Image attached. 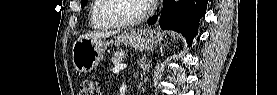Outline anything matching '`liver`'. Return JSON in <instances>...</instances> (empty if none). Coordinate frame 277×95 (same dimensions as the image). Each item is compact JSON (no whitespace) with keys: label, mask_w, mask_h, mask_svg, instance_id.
I'll use <instances>...</instances> for the list:
<instances>
[{"label":"liver","mask_w":277,"mask_h":95,"mask_svg":"<svg viewBox=\"0 0 277 95\" xmlns=\"http://www.w3.org/2000/svg\"><path fill=\"white\" fill-rule=\"evenodd\" d=\"M114 34H115L114 32H94V33H88V34L82 35L80 36V38L86 37V38H92V39H100V38H107Z\"/></svg>","instance_id":"1"}]
</instances>
